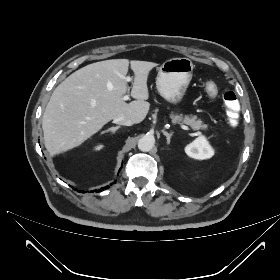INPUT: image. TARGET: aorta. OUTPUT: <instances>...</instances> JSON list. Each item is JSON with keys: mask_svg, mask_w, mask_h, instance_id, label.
<instances>
[{"mask_svg": "<svg viewBox=\"0 0 280 280\" xmlns=\"http://www.w3.org/2000/svg\"><path fill=\"white\" fill-rule=\"evenodd\" d=\"M155 144V138L151 135H145L138 141V149L143 152L150 151Z\"/></svg>", "mask_w": 280, "mask_h": 280, "instance_id": "1", "label": "aorta"}]
</instances>
